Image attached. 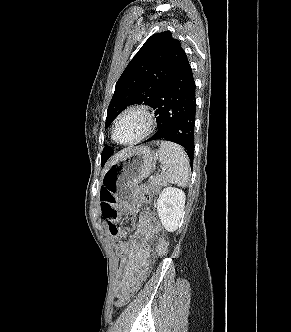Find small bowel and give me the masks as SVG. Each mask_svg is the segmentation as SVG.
Listing matches in <instances>:
<instances>
[{
    "label": "small bowel",
    "mask_w": 291,
    "mask_h": 332,
    "mask_svg": "<svg viewBox=\"0 0 291 332\" xmlns=\"http://www.w3.org/2000/svg\"><path fill=\"white\" fill-rule=\"evenodd\" d=\"M161 226L158 220L144 213L141 215L137 230L133 236L121 245L122 261L120 264L121 280L118 285V293L128 289L140 272L148 266L152 252L150 241L156 239V251L164 253L165 241L159 236Z\"/></svg>",
    "instance_id": "obj_1"
}]
</instances>
